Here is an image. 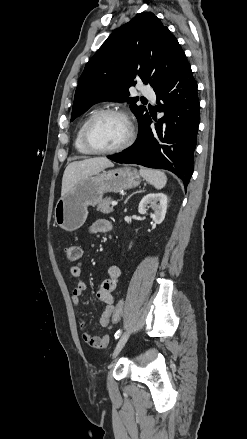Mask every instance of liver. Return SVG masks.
I'll list each match as a JSON object with an SVG mask.
<instances>
[{
	"instance_id": "obj_1",
	"label": "liver",
	"mask_w": 247,
	"mask_h": 439,
	"mask_svg": "<svg viewBox=\"0 0 247 439\" xmlns=\"http://www.w3.org/2000/svg\"><path fill=\"white\" fill-rule=\"evenodd\" d=\"M112 166L113 163L106 157H95L70 163L63 174L61 197L65 196L80 180Z\"/></svg>"
}]
</instances>
